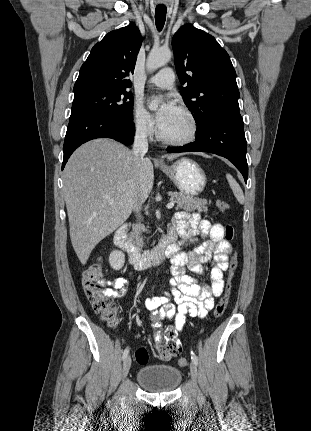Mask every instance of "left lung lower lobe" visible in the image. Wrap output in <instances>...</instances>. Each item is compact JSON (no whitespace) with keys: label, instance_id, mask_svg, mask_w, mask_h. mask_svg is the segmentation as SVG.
I'll use <instances>...</instances> for the list:
<instances>
[{"label":"left lung lower lobe","instance_id":"1","mask_svg":"<svg viewBox=\"0 0 311 431\" xmlns=\"http://www.w3.org/2000/svg\"><path fill=\"white\" fill-rule=\"evenodd\" d=\"M196 141L182 147L168 148L169 153L210 152L227 158L248 178L246 139L240 113H227L212 120L203 130L196 132Z\"/></svg>","mask_w":311,"mask_h":431}]
</instances>
